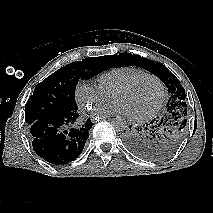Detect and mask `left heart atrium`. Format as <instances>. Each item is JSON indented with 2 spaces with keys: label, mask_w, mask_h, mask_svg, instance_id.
<instances>
[{
  "label": "left heart atrium",
  "mask_w": 213,
  "mask_h": 213,
  "mask_svg": "<svg viewBox=\"0 0 213 213\" xmlns=\"http://www.w3.org/2000/svg\"><path fill=\"white\" fill-rule=\"evenodd\" d=\"M93 114L95 116H103L105 114H121L129 116L130 112L123 103L119 101H113L110 104L96 107L93 110Z\"/></svg>",
  "instance_id": "1"
}]
</instances>
